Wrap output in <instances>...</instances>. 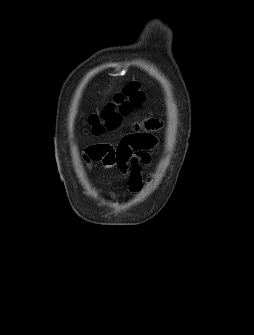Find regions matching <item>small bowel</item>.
I'll use <instances>...</instances> for the list:
<instances>
[{
	"label": "small bowel",
	"instance_id": "obj_1",
	"mask_svg": "<svg viewBox=\"0 0 254 335\" xmlns=\"http://www.w3.org/2000/svg\"><path fill=\"white\" fill-rule=\"evenodd\" d=\"M155 128L156 124L149 122L143 131L123 136L115 148L107 144L91 146L86 150V157L88 160L101 161L106 169L117 167L129 175V189L137 192L142 187V164L150 160L149 151L157 144L152 133Z\"/></svg>",
	"mask_w": 254,
	"mask_h": 335
}]
</instances>
